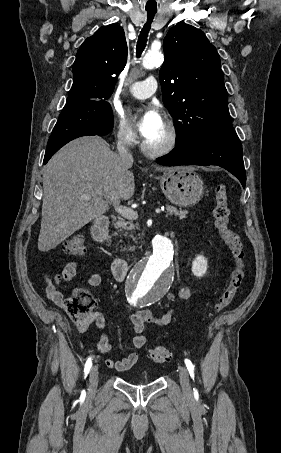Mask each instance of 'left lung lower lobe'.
Returning <instances> with one entry per match:
<instances>
[{
  "label": "left lung lower lobe",
  "instance_id": "0a47b994",
  "mask_svg": "<svg viewBox=\"0 0 281 453\" xmlns=\"http://www.w3.org/2000/svg\"><path fill=\"white\" fill-rule=\"evenodd\" d=\"M157 163L164 166L217 165L236 176L245 188L243 151L234 129L176 146L168 155L158 158Z\"/></svg>",
  "mask_w": 281,
  "mask_h": 453
}]
</instances>
